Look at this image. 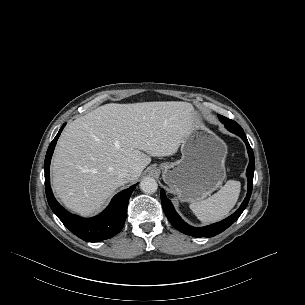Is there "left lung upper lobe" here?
I'll list each match as a JSON object with an SVG mask.
<instances>
[{
	"label": "left lung upper lobe",
	"instance_id": "obj_1",
	"mask_svg": "<svg viewBox=\"0 0 305 305\" xmlns=\"http://www.w3.org/2000/svg\"><path fill=\"white\" fill-rule=\"evenodd\" d=\"M220 121L225 125V127L232 133H235L237 135L239 134H243L244 131L243 129L240 127V125L238 123H236L235 121L228 119L224 116L218 115Z\"/></svg>",
	"mask_w": 305,
	"mask_h": 305
}]
</instances>
